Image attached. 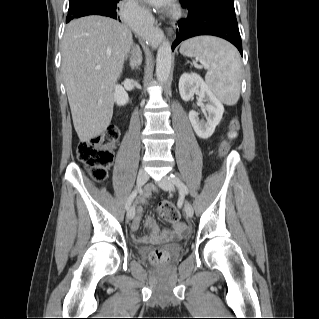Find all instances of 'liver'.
<instances>
[{"label": "liver", "mask_w": 319, "mask_h": 319, "mask_svg": "<svg viewBox=\"0 0 319 319\" xmlns=\"http://www.w3.org/2000/svg\"><path fill=\"white\" fill-rule=\"evenodd\" d=\"M133 44L130 29L92 15L68 23L61 71L74 128L81 142L102 134L113 116V89Z\"/></svg>", "instance_id": "6515ba94"}]
</instances>
